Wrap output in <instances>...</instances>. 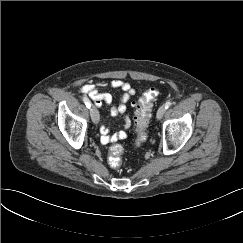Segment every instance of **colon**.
Here are the masks:
<instances>
[{
  "mask_svg": "<svg viewBox=\"0 0 243 243\" xmlns=\"http://www.w3.org/2000/svg\"><path fill=\"white\" fill-rule=\"evenodd\" d=\"M158 90L154 87L149 88L144 92L142 97L134 104L135 117L134 123L136 127V141L135 146H141L147 138V127L151 116L153 101L158 95ZM123 153V146L119 142H115L109 149L108 162L112 168H119L121 166Z\"/></svg>",
  "mask_w": 243,
  "mask_h": 243,
  "instance_id": "5ec220e1",
  "label": "colon"
}]
</instances>
